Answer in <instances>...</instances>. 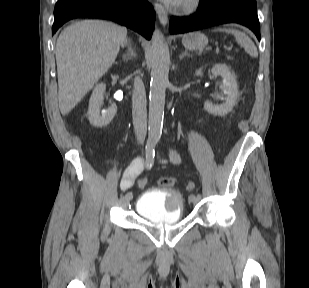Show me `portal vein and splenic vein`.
Masks as SVG:
<instances>
[{"mask_svg":"<svg viewBox=\"0 0 309 288\" xmlns=\"http://www.w3.org/2000/svg\"><path fill=\"white\" fill-rule=\"evenodd\" d=\"M226 50L231 51L232 47H226Z\"/></svg>","mask_w":309,"mask_h":288,"instance_id":"obj_1","label":"portal vein and splenic vein"}]
</instances>
